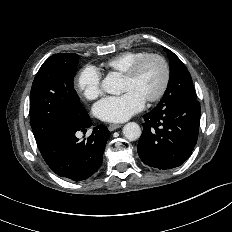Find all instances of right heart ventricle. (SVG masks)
<instances>
[{"label":"right heart ventricle","mask_w":232,"mask_h":232,"mask_svg":"<svg viewBox=\"0 0 232 232\" xmlns=\"http://www.w3.org/2000/svg\"><path fill=\"white\" fill-rule=\"evenodd\" d=\"M145 54L146 52L143 51H125L109 59L104 66L108 70L124 74L137 59Z\"/></svg>","instance_id":"1"}]
</instances>
